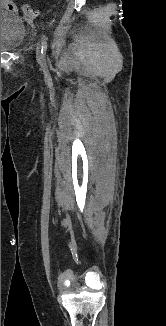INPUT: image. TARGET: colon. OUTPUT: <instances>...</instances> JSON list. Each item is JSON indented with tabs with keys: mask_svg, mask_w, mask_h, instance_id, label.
Wrapping results in <instances>:
<instances>
[{
	"mask_svg": "<svg viewBox=\"0 0 166 326\" xmlns=\"http://www.w3.org/2000/svg\"><path fill=\"white\" fill-rule=\"evenodd\" d=\"M22 10L25 15V18L28 20H32L36 16V12L31 9L28 5H23Z\"/></svg>",
	"mask_w": 166,
	"mask_h": 326,
	"instance_id": "colon-1",
	"label": "colon"
}]
</instances>
